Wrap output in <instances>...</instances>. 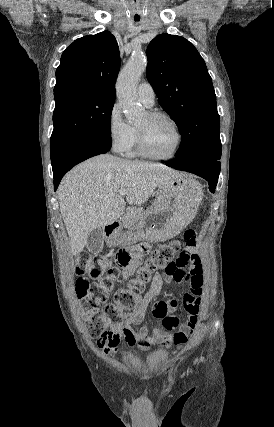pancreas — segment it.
<instances>
[{
    "mask_svg": "<svg viewBox=\"0 0 274 427\" xmlns=\"http://www.w3.org/2000/svg\"><path fill=\"white\" fill-rule=\"evenodd\" d=\"M141 215H143V208H128L121 219L123 227H131L138 219H141Z\"/></svg>",
    "mask_w": 274,
    "mask_h": 427,
    "instance_id": "obj_1",
    "label": "pancreas"
}]
</instances>
